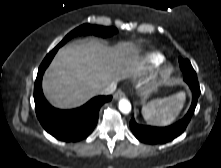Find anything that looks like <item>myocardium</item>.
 <instances>
[{
  "label": "myocardium",
  "mask_w": 221,
  "mask_h": 168,
  "mask_svg": "<svg viewBox=\"0 0 221 168\" xmlns=\"http://www.w3.org/2000/svg\"><path fill=\"white\" fill-rule=\"evenodd\" d=\"M173 72H174L173 67H171V66L164 67L160 71L159 75L157 76L156 83L163 84V83L167 82L170 79V77L172 76Z\"/></svg>",
  "instance_id": "f54148a6"
}]
</instances>
